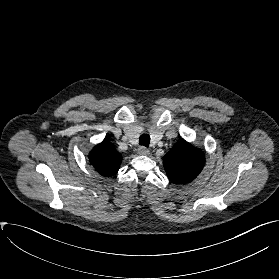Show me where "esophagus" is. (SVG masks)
Returning a JSON list of instances; mask_svg holds the SVG:
<instances>
[{
	"mask_svg": "<svg viewBox=\"0 0 279 279\" xmlns=\"http://www.w3.org/2000/svg\"><path fill=\"white\" fill-rule=\"evenodd\" d=\"M138 154L139 155H149L150 151L145 147H139L138 148Z\"/></svg>",
	"mask_w": 279,
	"mask_h": 279,
	"instance_id": "obj_1",
	"label": "esophagus"
}]
</instances>
